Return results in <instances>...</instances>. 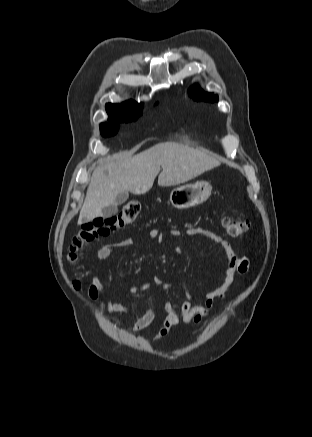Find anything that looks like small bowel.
<instances>
[{
  "label": "small bowel",
  "mask_w": 312,
  "mask_h": 437,
  "mask_svg": "<svg viewBox=\"0 0 312 437\" xmlns=\"http://www.w3.org/2000/svg\"><path fill=\"white\" fill-rule=\"evenodd\" d=\"M170 233L175 238H180L183 234L202 235L214 241L227 261V269L225 278L221 285L200 296L203 300V303L201 304L193 303V294L190 291L188 284L183 282L182 286L185 291L186 299L180 305L179 309H177V307L170 301H164L165 317L162 326L153 338L155 341L166 336L169 331L179 323L180 319L184 323H200L202 319L209 314L215 303L226 295L232 286L235 277L237 275L245 274L249 268V259L247 257L237 255L229 242L210 230L201 227H192L185 231L172 229ZM151 236L155 239H159L161 234L158 231H153ZM136 244L137 241L133 238H126L116 243L104 244L98 249L96 258L98 260H106L113 255L117 247L133 246ZM176 250L178 251L180 248L176 247ZM153 283L161 285L164 290H169L171 287L168 283H162L159 278H154ZM150 286V283H143L140 287H132L131 292L133 294H138L139 292L147 291ZM89 295L93 300L98 301L101 310L117 314H127L132 310V307L122 304L121 302L111 301L97 275H92L91 277ZM155 315L154 308L149 306L145 313L138 318L133 325L125 326L124 328L129 333L138 332L151 324L155 319Z\"/></svg>",
  "instance_id": "obj_1"
}]
</instances>
